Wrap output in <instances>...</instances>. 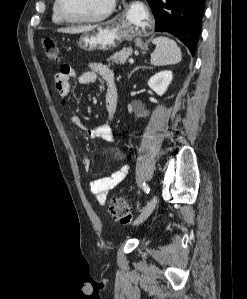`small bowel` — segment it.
<instances>
[{"mask_svg":"<svg viewBox=\"0 0 247 299\" xmlns=\"http://www.w3.org/2000/svg\"><path fill=\"white\" fill-rule=\"evenodd\" d=\"M99 78H102L107 83L105 107L106 122H109L113 115L109 114L108 108L113 106L116 111L118 93L114 83V75L112 70L100 63L91 64L89 68L83 71L80 75H76L75 70L69 65L61 66L60 70L54 75V81L55 88L58 94L62 97V105L65 106L67 104L66 97L70 93L71 79H77L78 83L80 84H93L97 82ZM69 124L75 129L87 130L88 135L93 139H102L105 141L114 140V136L108 123L90 128L87 127L77 115L72 114L69 116ZM118 153H122L120 148H118ZM82 166L86 172L90 171L91 159L88 156H84L82 158ZM127 172L128 167L123 166L108 177H102L90 182V191L94 194L99 205H104L106 203L110 191L117 187L124 180Z\"/></svg>","mask_w":247,"mask_h":299,"instance_id":"small-bowel-1","label":"small bowel"}]
</instances>
